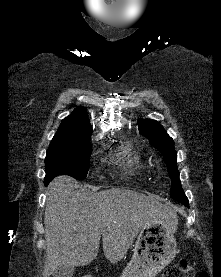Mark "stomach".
<instances>
[{"label":"stomach","instance_id":"1","mask_svg":"<svg viewBox=\"0 0 221 277\" xmlns=\"http://www.w3.org/2000/svg\"><path fill=\"white\" fill-rule=\"evenodd\" d=\"M177 216L150 221L140 230L134 253L121 277H155L174 259Z\"/></svg>","mask_w":221,"mask_h":277}]
</instances>
